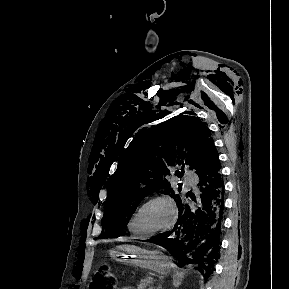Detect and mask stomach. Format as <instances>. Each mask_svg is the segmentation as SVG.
Listing matches in <instances>:
<instances>
[{
	"label": "stomach",
	"instance_id": "1",
	"mask_svg": "<svg viewBox=\"0 0 289 289\" xmlns=\"http://www.w3.org/2000/svg\"><path fill=\"white\" fill-rule=\"evenodd\" d=\"M110 256L120 262L138 266L159 274L170 270L169 259L160 251H150L135 245H120L109 251Z\"/></svg>",
	"mask_w": 289,
	"mask_h": 289
}]
</instances>
